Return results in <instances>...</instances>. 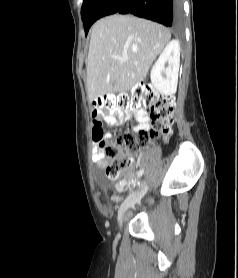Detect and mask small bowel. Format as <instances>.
Returning a JSON list of instances; mask_svg holds the SVG:
<instances>
[{"label":"small bowel","mask_w":238,"mask_h":278,"mask_svg":"<svg viewBox=\"0 0 238 278\" xmlns=\"http://www.w3.org/2000/svg\"><path fill=\"white\" fill-rule=\"evenodd\" d=\"M135 116L138 120V124L133 125V128L138 131V130H148L150 128L149 125V116L145 112H135L132 110H127L126 112H122L121 110L118 109H112L108 110L102 113L101 115V121L102 123H105L108 126H111L113 128L119 127L124 121L129 119L132 116ZM111 137V134H104L103 139L107 141ZM94 141L97 143L93 149V159L95 162L98 164V166H101V160L103 157V151L102 147L100 146L101 140H96ZM127 181L122 180L118 183V190H122L126 187ZM118 199V197H115Z\"/></svg>","instance_id":"1"}]
</instances>
